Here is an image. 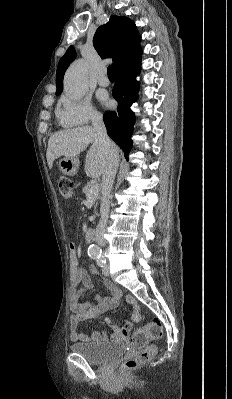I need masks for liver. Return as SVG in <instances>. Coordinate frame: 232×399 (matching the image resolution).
Instances as JSON below:
<instances>
[{
	"label": "liver",
	"instance_id": "1",
	"mask_svg": "<svg viewBox=\"0 0 232 399\" xmlns=\"http://www.w3.org/2000/svg\"><path fill=\"white\" fill-rule=\"evenodd\" d=\"M90 146L86 154L85 174L88 178H99L104 174L106 168V148L100 144L97 134L92 126H81V128H71V130H61L50 136L47 148V162L50 170L53 168L54 160L65 156V158H75ZM116 154L119 150L113 146Z\"/></svg>",
	"mask_w": 232,
	"mask_h": 399
}]
</instances>
